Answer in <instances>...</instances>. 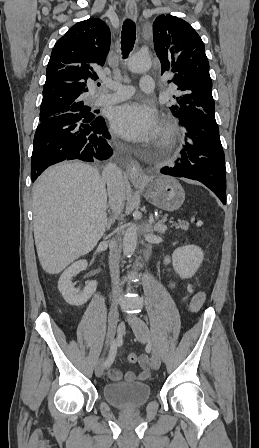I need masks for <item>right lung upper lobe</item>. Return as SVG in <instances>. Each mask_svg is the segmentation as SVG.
Returning <instances> with one entry per match:
<instances>
[{
	"label": "right lung upper lobe",
	"mask_w": 259,
	"mask_h": 448,
	"mask_svg": "<svg viewBox=\"0 0 259 448\" xmlns=\"http://www.w3.org/2000/svg\"><path fill=\"white\" fill-rule=\"evenodd\" d=\"M110 49V30L99 18L76 23L52 49L40 114L84 105L87 80L98 79Z\"/></svg>",
	"instance_id": "1"
}]
</instances>
